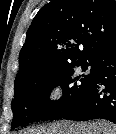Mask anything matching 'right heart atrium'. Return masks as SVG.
<instances>
[{
  "label": "right heart atrium",
  "instance_id": "d8ad5b80",
  "mask_svg": "<svg viewBox=\"0 0 116 134\" xmlns=\"http://www.w3.org/2000/svg\"><path fill=\"white\" fill-rule=\"evenodd\" d=\"M65 90L60 82H54L45 91V97L50 104H57L64 99Z\"/></svg>",
  "mask_w": 116,
  "mask_h": 134
}]
</instances>
